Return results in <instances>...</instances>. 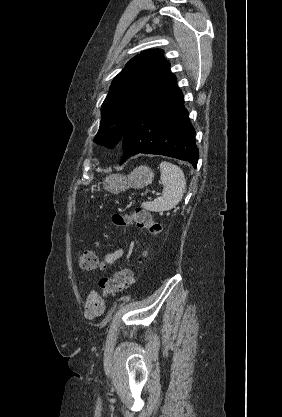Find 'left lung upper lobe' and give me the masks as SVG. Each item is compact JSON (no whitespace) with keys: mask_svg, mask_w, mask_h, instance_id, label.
<instances>
[{"mask_svg":"<svg viewBox=\"0 0 282 417\" xmlns=\"http://www.w3.org/2000/svg\"><path fill=\"white\" fill-rule=\"evenodd\" d=\"M170 71L163 51L151 49L131 59L114 78L101 107V124L95 142L114 148L135 109L158 87Z\"/></svg>","mask_w":282,"mask_h":417,"instance_id":"obj_1","label":"left lung upper lobe"}]
</instances>
